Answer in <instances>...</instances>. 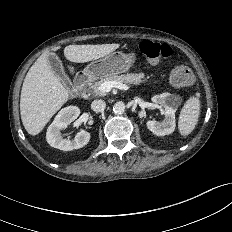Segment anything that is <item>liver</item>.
Instances as JSON below:
<instances>
[{"label": "liver", "mask_w": 232, "mask_h": 232, "mask_svg": "<svg viewBox=\"0 0 232 232\" xmlns=\"http://www.w3.org/2000/svg\"><path fill=\"white\" fill-rule=\"evenodd\" d=\"M120 44L69 45L64 49L67 60L85 63L105 57L118 49ZM60 47H54L56 51ZM44 52L29 69L21 90L20 114L30 135L39 134L51 117L68 100L69 94L59 78L50 69Z\"/></svg>", "instance_id": "liver-1"}]
</instances>
